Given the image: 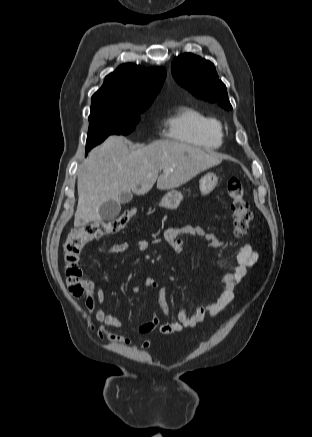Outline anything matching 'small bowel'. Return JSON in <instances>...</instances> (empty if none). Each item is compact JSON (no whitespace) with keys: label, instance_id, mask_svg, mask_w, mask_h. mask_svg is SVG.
I'll return each mask as SVG.
<instances>
[{"label":"small bowel","instance_id":"1","mask_svg":"<svg viewBox=\"0 0 312 437\" xmlns=\"http://www.w3.org/2000/svg\"><path fill=\"white\" fill-rule=\"evenodd\" d=\"M185 237H199L206 241L208 246L221 249L223 248V241L215 234L205 231L200 226H174L169 227L164 231V239L170 244L176 253H181L184 250ZM133 247L138 251H145L148 247V242L144 239H136L132 243ZM130 244L128 242H119L113 244L108 249V254L117 255L122 254L128 250ZM258 253L249 243H245L236 257L235 268L224 274L220 279L221 292L211 302L196 309L195 313L189 315L185 308H182L177 313V320L161 323L159 319L158 310H161L165 315H169L170 310L165 296V290L162 289L156 297V308L152 316L142 324H140L136 331L140 334H150L158 332L161 335L174 334L182 331L184 328H193L202 323L206 318L215 317L223 311L234 299V289L238 282L247 274L248 270L257 262ZM143 284L147 288H156L158 283L152 278H145ZM90 295L85 302V310L88 315L94 313L95 319L101 325L95 329L92 323H89V330L95 332L100 340H109L113 343L130 345L131 339L114 333L109 328L120 329L123 331H130V328L123 322V320L115 315L109 314L102 307L105 301V294L101 288L96 287L89 282ZM134 293L140 291V286L135 285L132 288ZM141 346L148 348L151 346L150 340H145Z\"/></svg>","mask_w":312,"mask_h":437}]
</instances>
